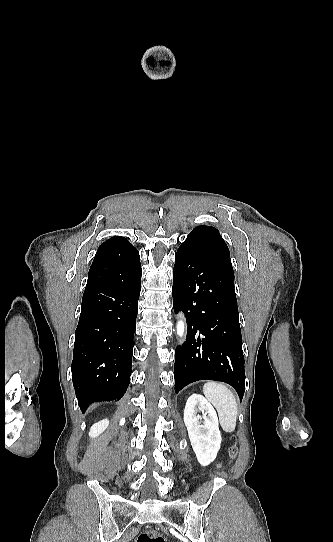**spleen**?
I'll return each mask as SVG.
<instances>
[{
    "label": "spleen",
    "mask_w": 333,
    "mask_h": 542,
    "mask_svg": "<svg viewBox=\"0 0 333 542\" xmlns=\"http://www.w3.org/2000/svg\"><path fill=\"white\" fill-rule=\"evenodd\" d=\"M203 394L217 410L219 424L224 432H234L236 428L238 408L237 400L224 384L207 382L203 386Z\"/></svg>",
    "instance_id": "spleen-1"
}]
</instances>
